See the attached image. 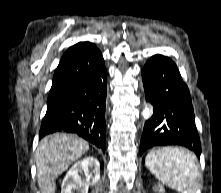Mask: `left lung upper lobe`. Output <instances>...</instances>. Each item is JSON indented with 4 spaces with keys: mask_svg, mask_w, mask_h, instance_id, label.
I'll use <instances>...</instances> for the list:
<instances>
[{
    "mask_svg": "<svg viewBox=\"0 0 221 193\" xmlns=\"http://www.w3.org/2000/svg\"><path fill=\"white\" fill-rule=\"evenodd\" d=\"M162 116L164 118V121L167 123L169 127L174 126L176 122V119H175L176 113L173 110V108H171L170 106L166 107L163 110Z\"/></svg>",
    "mask_w": 221,
    "mask_h": 193,
    "instance_id": "left-lung-upper-lobe-1",
    "label": "left lung upper lobe"
}]
</instances>
